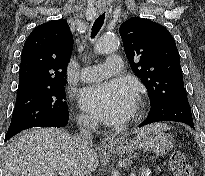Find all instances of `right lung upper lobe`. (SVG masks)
Wrapping results in <instances>:
<instances>
[{"label":"right lung upper lobe","instance_id":"cb5924a9","mask_svg":"<svg viewBox=\"0 0 205 176\" xmlns=\"http://www.w3.org/2000/svg\"><path fill=\"white\" fill-rule=\"evenodd\" d=\"M73 36L65 19L36 27L24 44L17 94L66 83Z\"/></svg>","mask_w":205,"mask_h":176}]
</instances>
